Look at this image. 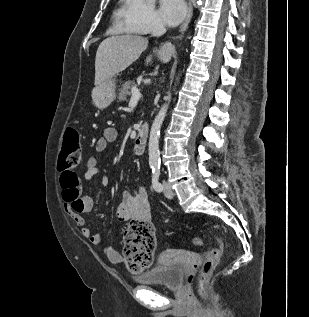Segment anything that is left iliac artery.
<instances>
[{"label": "left iliac artery", "mask_w": 309, "mask_h": 317, "mask_svg": "<svg viewBox=\"0 0 309 317\" xmlns=\"http://www.w3.org/2000/svg\"><path fill=\"white\" fill-rule=\"evenodd\" d=\"M152 186L155 191L162 192L163 186L159 182V176H160V166L152 167Z\"/></svg>", "instance_id": "obj_1"}]
</instances>
